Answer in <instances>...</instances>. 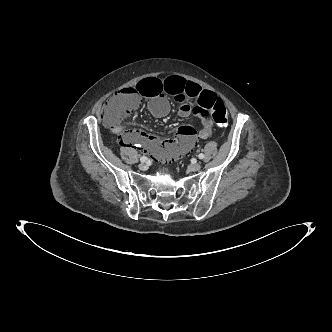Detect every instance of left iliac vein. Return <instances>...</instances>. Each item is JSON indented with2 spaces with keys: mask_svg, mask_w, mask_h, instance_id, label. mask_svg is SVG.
Returning a JSON list of instances; mask_svg holds the SVG:
<instances>
[{
  "mask_svg": "<svg viewBox=\"0 0 332 332\" xmlns=\"http://www.w3.org/2000/svg\"><path fill=\"white\" fill-rule=\"evenodd\" d=\"M201 164H199V163H193V164H190L189 166H188V169L190 170V171H193V172H195V171H199L200 169H201Z\"/></svg>",
  "mask_w": 332,
  "mask_h": 332,
  "instance_id": "obj_1",
  "label": "left iliac vein"
}]
</instances>
